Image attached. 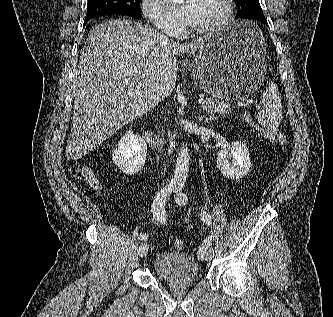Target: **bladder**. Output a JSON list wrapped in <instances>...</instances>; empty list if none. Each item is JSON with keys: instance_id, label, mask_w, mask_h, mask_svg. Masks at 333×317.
Instances as JSON below:
<instances>
[{"instance_id": "bladder-1", "label": "bladder", "mask_w": 333, "mask_h": 317, "mask_svg": "<svg viewBox=\"0 0 333 317\" xmlns=\"http://www.w3.org/2000/svg\"><path fill=\"white\" fill-rule=\"evenodd\" d=\"M152 269L158 278L174 285L192 283L200 275L198 262L186 252L160 253L154 257Z\"/></svg>"}]
</instances>
